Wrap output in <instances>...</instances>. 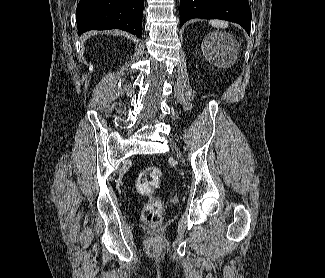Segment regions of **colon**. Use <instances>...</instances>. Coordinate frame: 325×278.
I'll list each match as a JSON object with an SVG mask.
<instances>
[{
  "instance_id": "1",
  "label": "colon",
  "mask_w": 325,
  "mask_h": 278,
  "mask_svg": "<svg viewBox=\"0 0 325 278\" xmlns=\"http://www.w3.org/2000/svg\"><path fill=\"white\" fill-rule=\"evenodd\" d=\"M163 175L159 167H147L143 169L137 179L138 190L151 199L143 210L142 219L151 227H158L162 222V203L159 199L152 197L153 190L158 186Z\"/></svg>"
}]
</instances>
